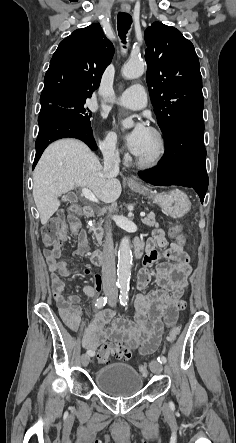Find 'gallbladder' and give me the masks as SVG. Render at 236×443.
<instances>
[{
    "label": "gallbladder",
    "instance_id": "gallbladder-1",
    "mask_svg": "<svg viewBox=\"0 0 236 443\" xmlns=\"http://www.w3.org/2000/svg\"><path fill=\"white\" fill-rule=\"evenodd\" d=\"M77 195L73 192H68L67 194H65L62 198V201H66V202H70V203H74L77 201Z\"/></svg>",
    "mask_w": 236,
    "mask_h": 443
}]
</instances>
